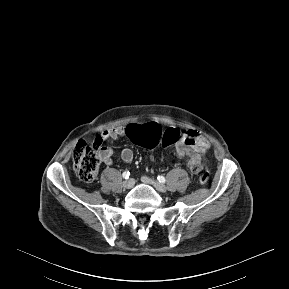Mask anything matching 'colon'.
Listing matches in <instances>:
<instances>
[{
	"label": "colon",
	"mask_w": 289,
	"mask_h": 289,
	"mask_svg": "<svg viewBox=\"0 0 289 289\" xmlns=\"http://www.w3.org/2000/svg\"><path fill=\"white\" fill-rule=\"evenodd\" d=\"M130 139L137 145L151 149L156 145L167 146L178 142L182 138V134L174 128L163 130L159 125L151 123L145 126L130 125L126 128ZM102 156V147L100 142L87 144L83 141L77 143L73 155V166L84 182H92L98 172ZM201 184H206L209 181L208 172H202L199 175Z\"/></svg>",
	"instance_id": "1"
}]
</instances>
